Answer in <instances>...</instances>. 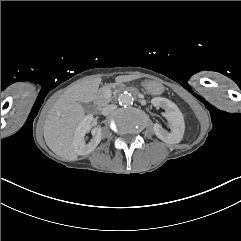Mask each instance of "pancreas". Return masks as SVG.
<instances>
[{"label": "pancreas", "mask_w": 241, "mask_h": 241, "mask_svg": "<svg viewBox=\"0 0 241 241\" xmlns=\"http://www.w3.org/2000/svg\"><path fill=\"white\" fill-rule=\"evenodd\" d=\"M104 92H105V89H103V88L99 91V95H98L97 101H96V103L98 105L105 106L111 101V98L105 97Z\"/></svg>", "instance_id": "pancreas-1"}]
</instances>
